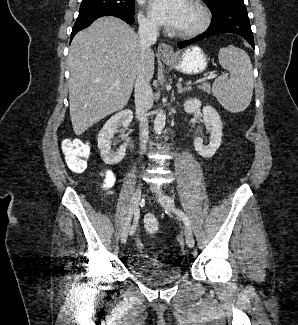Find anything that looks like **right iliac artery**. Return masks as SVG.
Segmentation results:
<instances>
[{"instance_id":"right-iliac-artery-1","label":"right iliac artery","mask_w":298,"mask_h":325,"mask_svg":"<svg viewBox=\"0 0 298 325\" xmlns=\"http://www.w3.org/2000/svg\"><path fill=\"white\" fill-rule=\"evenodd\" d=\"M139 213H140L139 212V209H136L135 212H134L133 224H132V226L130 228V231H129L130 235H132L135 232V230H136V227H137V224H138V220H139Z\"/></svg>"}]
</instances>
